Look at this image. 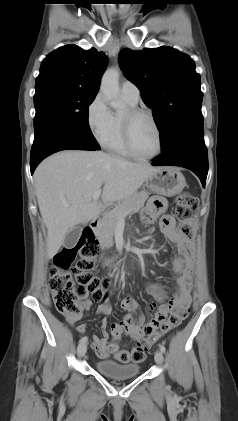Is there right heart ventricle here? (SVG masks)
<instances>
[{
    "instance_id": "e07e8e85",
    "label": "right heart ventricle",
    "mask_w": 238,
    "mask_h": 421,
    "mask_svg": "<svg viewBox=\"0 0 238 421\" xmlns=\"http://www.w3.org/2000/svg\"><path fill=\"white\" fill-rule=\"evenodd\" d=\"M126 102L131 106L134 107L136 104H132L126 100ZM103 146L110 152L115 153L117 155L130 158L132 155L127 150L123 135H122V124H121V116L118 114H113V129L110 136L104 141Z\"/></svg>"
}]
</instances>
